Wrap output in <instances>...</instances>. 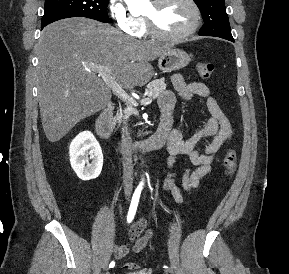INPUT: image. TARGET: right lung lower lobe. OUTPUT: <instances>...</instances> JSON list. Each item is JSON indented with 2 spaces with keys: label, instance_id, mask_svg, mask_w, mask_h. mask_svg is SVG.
<instances>
[{
  "label": "right lung lower lobe",
  "instance_id": "98d812e1",
  "mask_svg": "<svg viewBox=\"0 0 289 274\" xmlns=\"http://www.w3.org/2000/svg\"><path fill=\"white\" fill-rule=\"evenodd\" d=\"M46 25L41 26V29H43Z\"/></svg>",
  "mask_w": 289,
  "mask_h": 274
}]
</instances>
